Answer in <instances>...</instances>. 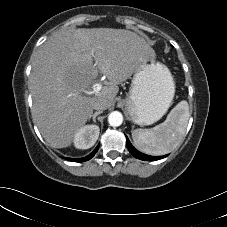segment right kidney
<instances>
[{"label": "right kidney", "mask_w": 227, "mask_h": 227, "mask_svg": "<svg viewBox=\"0 0 227 227\" xmlns=\"http://www.w3.org/2000/svg\"><path fill=\"white\" fill-rule=\"evenodd\" d=\"M97 125H87L79 129L74 136V145L78 149L91 148L99 137Z\"/></svg>", "instance_id": "obj_1"}]
</instances>
